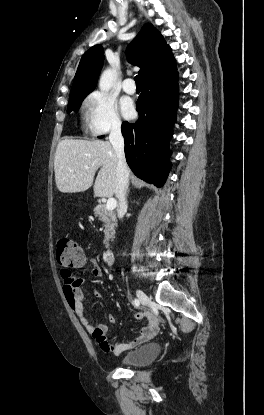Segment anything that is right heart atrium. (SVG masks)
<instances>
[{"label":"right heart atrium","mask_w":264,"mask_h":415,"mask_svg":"<svg viewBox=\"0 0 264 415\" xmlns=\"http://www.w3.org/2000/svg\"><path fill=\"white\" fill-rule=\"evenodd\" d=\"M86 120L89 130L97 135L118 131L121 119L116 104L106 94L93 92L86 99Z\"/></svg>","instance_id":"d8ad5b80"}]
</instances>
